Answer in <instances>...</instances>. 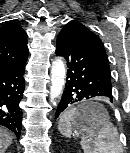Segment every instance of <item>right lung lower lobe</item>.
Returning a JSON list of instances; mask_svg holds the SVG:
<instances>
[{
  "mask_svg": "<svg viewBox=\"0 0 130 153\" xmlns=\"http://www.w3.org/2000/svg\"><path fill=\"white\" fill-rule=\"evenodd\" d=\"M26 61L0 68V125L7 127L20 138L22 111L19 103L25 89Z\"/></svg>",
  "mask_w": 130,
  "mask_h": 153,
  "instance_id": "obj_1",
  "label": "right lung lower lobe"
}]
</instances>
